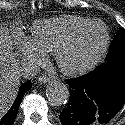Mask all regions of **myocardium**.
I'll return each mask as SVG.
<instances>
[{
    "label": "myocardium",
    "instance_id": "1",
    "mask_svg": "<svg viewBox=\"0 0 125 125\" xmlns=\"http://www.w3.org/2000/svg\"><path fill=\"white\" fill-rule=\"evenodd\" d=\"M94 26L101 28L103 36L96 52L85 61L71 65L65 60L66 53L79 41L80 37ZM110 42V34L106 25L98 20H90L81 27L73 31L65 40H63L54 52L55 61L61 72L67 76H77L93 69L102 60L107 52Z\"/></svg>",
    "mask_w": 125,
    "mask_h": 125
}]
</instances>
